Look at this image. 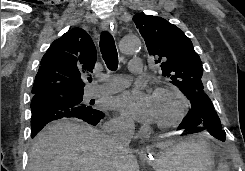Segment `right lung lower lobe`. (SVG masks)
Instances as JSON below:
<instances>
[{
	"label": "right lung lower lobe",
	"instance_id": "right-lung-lower-lobe-1",
	"mask_svg": "<svg viewBox=\"0 0 245 171\" xmlns=\"http://www.w3.org/2000/svg\"><path fill=\"white\" fill-rule=\"evenodd\" d=\"M77 94L58 96L54 94H40L31 101V137L49 122L61 118L75 117L88 124L97 125L105 114L91 106L77 105L74 97Z\"/></svg>",
	"mask_w": 245,
	"mask_h": 171
}]
</instances>
